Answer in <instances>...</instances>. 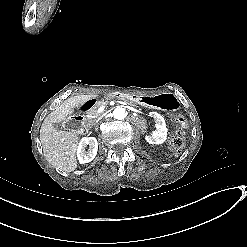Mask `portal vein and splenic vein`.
<instances>
[{
	"instance_id": "18ae733b",
	"label": "portal vein and splenic vein",
	"mask_w": 247,
	"mask_h": 247,
	"mask_svg": "<svg viewBox=\"0 0 247 247\" xmlns=\"http://www.w3.org/2000/svg\"><path fill=\"white\" fill-rule=\"evenodd\" d=\"M114 102H117V104H121L124 106H129V103H125L123 100L114 99ZM105 107H106V104H103L102 106H100V108H98V113H101V111H104Z\"/></svg>"
}]
</instances>
